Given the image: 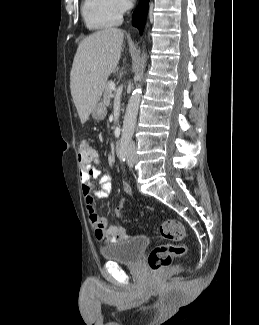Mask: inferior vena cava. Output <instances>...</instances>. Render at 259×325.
I'll return each mask as SVG.
<instances>
[{
    "mask_svg": "<svg viewBox=\"0 0 259 325\" xmlns=\"http://www.w3.org/2000/svg\"><path fill=\"white\" fill-rule=\"evenodd\" d=\"M130 146H131V147H134V144H133V142L130 144Z\"/></svg>",
    "mask_w": 259,
    "mask_h": 325,
    "instance_id": "602c4592",
    "label": "inferior vena cava"
}]
</instances>
